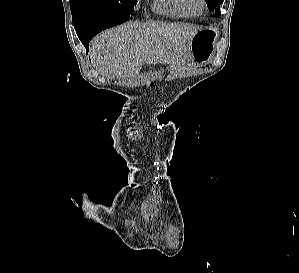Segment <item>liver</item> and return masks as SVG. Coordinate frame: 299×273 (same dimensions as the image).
Here are the masks:
<instances>
[{"instance_id": "obj_1", "label": "liver", "mask_w": 299, "mask_h": 273, "mask_svg": "<svg viewBox=\"0 0 299 273\" xmlns=\"http://www.w3.org/2000/svg\"><path fill=\"white\" fill-rule=\"evenodd\" d=\"M199 26L156 22L128 23L104 31L91 42L94 67L105 75L135 77L142 63L185 64Z\"/></svg>"}]
</instances>
